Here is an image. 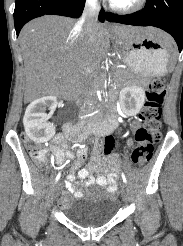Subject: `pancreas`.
I'll return each mask as SVG.
<instances>
[{"instance_id": "pancreas-1", "label": "pancreas", "mask_w": 183, "mask_h": 246, "mask_svg": "<svg viewBox=\"0 0 183 246\" xmlns=\"http://www.w3.org/2000/svg\"><path fill=\"white\" fill-rule=\"evenodd\" d=\"M117 72L120 73V74H128L129 73V70L119 69V70H117Z\"/></svg>"}]
</instances>
